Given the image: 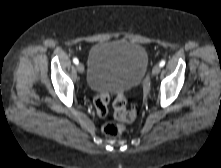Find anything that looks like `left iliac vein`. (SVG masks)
<instances>
[{
  "label": "left iliac vein",
  "instance_id": "left-iliac-vein-1",
  "mask_svg": "<svg viewBox=\"0 0 221 168\" xmlns=\"http://www.w3.org/2000/svg\"><path fill=\"white\" fill-rule=\"evenodd\" d=\"M161 67L159 65H155L152 69L153 75H158L160 72Z\"/></svg>",
  "mask_w": 221,
  "mask_h": 168
}]
</instances>
